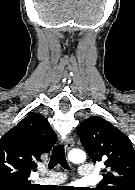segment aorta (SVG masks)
I'll use <instances>...</instances> for the list:
<instances>
[{
    "label": "aorta",
    "instance_id": "762f6f07",
    "mask_svg": "<svg viewBox=\"0 0 135 190\" xmlns=\"http://www.w3.org/2000/svg\"><path fill=\"white\" fill-rule=\"evenodd\" d=\"M68 158L74 163H81L86 159V155L82 150L75 149L69 152Z\"/></svg>",
    "mask_w": 135,
    "mask_h": 190
}]
</instances>
